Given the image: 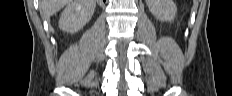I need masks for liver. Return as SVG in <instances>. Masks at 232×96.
Returning a JSON list of instances; mask_svg holds the SVG:
<instances>
[{
	"mask_svg": "<svg viewBox=\"0 0 232 96\" xmlns=\"http://www.w3.org/2000/svg\"><path fill=\"white\" fill-rule=\"evenodd\" d=\"M72 0H41L40 12L45 18H48L58 11H60L65 5H68Z\"/></svg>",
	"mask_w": 232,
	"mask_h": 96,
	"instance_id": "obj_1",
	"label": "liver"
}]
</instances>
